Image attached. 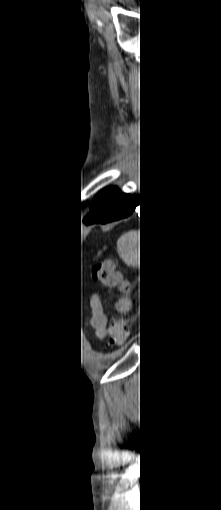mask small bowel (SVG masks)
I'll return each mask as SVG.
<instances>
[{"label":"small bowel","instance_id":"obj_1","mask_svg":"<svg viewBox=\"0 0 221 510\" xmlns=\"http://www.w3.org/2000/svg\"><path fill=\"white\" fill-rule=\"evenodd\" d=\"M90 303L94 311L91 319V325L94 328L96 335L104 337L107 333V318L103 313L100 297L98 295H93Z\"/></svg>","mask_w":221,"mask_h":510}]
</instances>
